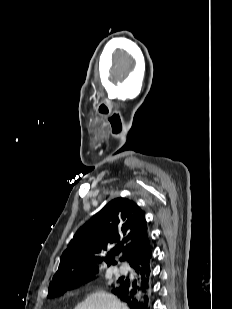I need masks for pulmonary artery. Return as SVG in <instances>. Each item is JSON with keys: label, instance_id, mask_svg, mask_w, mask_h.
Returning a JSON list of instances; mask_svg holds the SVG:
<instances>
[{"label": "pulmonary artery", "instance_id": "1", "mask_svg": "<svg viewBox=\"0 0 232 309\" xmlns=\"http://www.w3.org/2000/svg\"><path fill=\"white\" fill-rule=\"evenodd\" d=\"M118 272H119V273H122V274H125V273L128 272V269H127V267H125V266H120V267L118 268Z\"/></svg>", "mask_w": 232, "mask_h": 309}]
</instances>
